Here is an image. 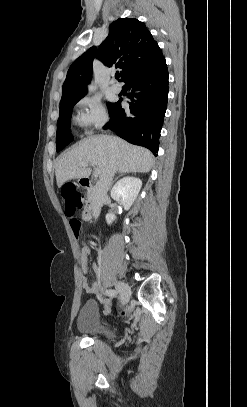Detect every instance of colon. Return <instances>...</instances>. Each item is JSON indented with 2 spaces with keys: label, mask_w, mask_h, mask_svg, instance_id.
<instances>
[{
  "label": "colon",
  "mask_w": 247,
  "mask_h": 407,
  "mask_svg": "<svg viewBox=\"0 0 247 407\" xmlns=\"http://www.w3.org/2000/svg\"><path fill=\"white\" fill-rule=\"evenodd\" d=\"M61 196L64 200L65 214L67 216H73L76 210L82 206V195L76 191L75 185L66 184L61 189ZM70 225L76 237H79L82 230L81 222L76 219H72ZM121 315L125 316L126 311H121Z\"/></svg>",
  "instance_id": "1"
}]
</instances>
